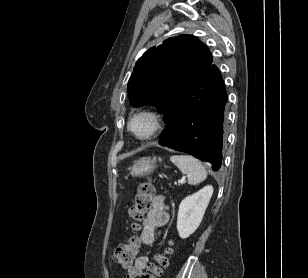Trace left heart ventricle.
<instances>
[{"label": "left heart ventricle", "instance_id": "left-heart-ventricle-1", "mask_svg": "<svg viewBox=\"0 0 308 278\" xmlns=\"http://www.w3.org/2000/svg\"><path fill=\"white\" fill-rule=\"evenodd\" d=\"M151 127V123L149 119L145 117H140L137 118L133 123H132V129L139 135H143L146 132L149 131Z\"/></svg>", "mask_w": 308, "mask_h": 278}]
</instances>
